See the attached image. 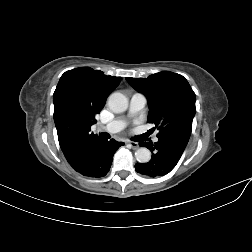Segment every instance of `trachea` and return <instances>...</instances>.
<instances>
[{
	"label": "trachea",
	"mask_w": 252,
	"mask_h": 252,
	"mask_svg": "<svg viewBox=\"0 0 252 252\" xmlns=\"http://www.w3.org/2000/svg\"><path fill=\"white\" fill-rule=\"evenodd\" d=\"M100 135L102 136V137H107V133H100Z\"/></svg>",
	"instance_id": "1"
}]
</instances>
